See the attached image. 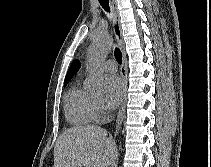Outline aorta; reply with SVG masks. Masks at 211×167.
Wrapping results in <instances>:
<instances>
[{
    "label": "aorta",
    "instance_id": "obj_1",
    "mask_svg": "<svg viewBox=\"0 0 211 167\" xmlns=\"http://www.w3.org/2000/svg\"><path fill=\"white\" fill-rule=\"evenodd\" d=\"M112 48V41L108 36H101L89 47V82L88 87L93 91L103 89L106 75L102 70L101 63Z\"/></svg>",
    "mask_w": 211,
    "mask_h": 167
}]
</instances>
